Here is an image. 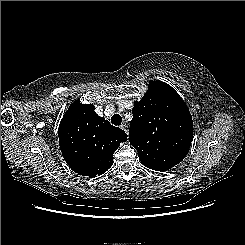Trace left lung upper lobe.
<instances>
[{
  "instance_id": "5c2ea615",
  "label": "left lung upper lobe",
  "mask_w": 245,
  "mask_h": 245,
  "mask_svg": "<svg viewBox=\"0 0 245 245\" xmlns=\"http://www.w3.org/2000/svg\"><path fill=\"white\" fill-rule=\"evenodd\" d=\"M132 111L129 142L141 163L156 171L179 164L191 146L193 121L178 93L165 82L151 81Z\"/></svg>"
}]
</instances>
